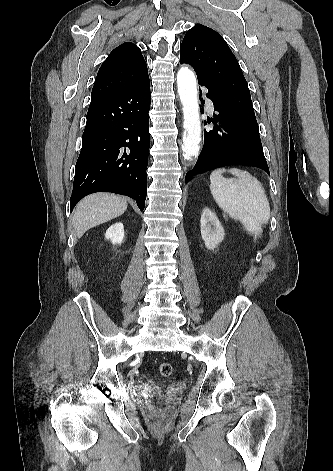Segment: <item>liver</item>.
Listing matches in <instances>:
<instances>
[{
    "label": "liver",
    "mask_w": 333,
    "mask_h": 471,
    "mask_svg": "<svg viewBox=\"0 0 333 471\" xmlns=\"http://www.w3.org/2000/svg\"><path fill=\"white\" fill-rule=\"evenodd\" d=\"M127 209V200L110 193H96L85 197L76 206L72 225L77 238L89 229L108 222Z\"/></svg>",
    "instance_id": "obj_1"
}]
</instances>
